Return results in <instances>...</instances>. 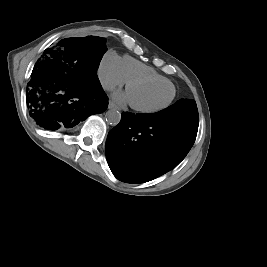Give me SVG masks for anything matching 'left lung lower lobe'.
I'll return each instance as SVG.
<instances>
[{"mask_svg": "<svg viewBox=\"0 0 267 267\" xmlns=\"http://www.w3.org/2000/svg\"><path fill=\"white\" fill-rule=\"evenodd\" d=\"M198 116L179 112H124L110 130L106 157L114 176L127 183H143L175 168L191 149Z\"/></svg>", "mask_w": 267, "mask_h": 267, "instance_id": "left-lung-lower-lobe-1", "label": "left lung lower lobe"}]
</instances>
